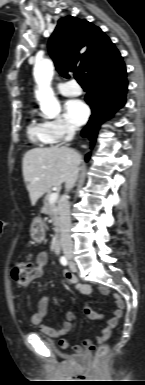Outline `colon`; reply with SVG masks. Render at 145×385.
<instances>
[{
  "mask_svg": "<svg viewBox=\"0 0 145 385\" xmlns=\"http://www.w3.org/2000/svg\"><path fill=\"white\" fill-rule=\"evenodd\" d=\"M34 269V264L31 261H18L13 266L12 277L19 285L27 286L32 280ZM88 349L92 350L93 346H89ZM107 353V345H103L97 349L95 358L96 366L100 365V363L105 359Z\"/></svg>",
  "mask_w": 145,
  "mask_h": 385,
  "instance_id": "1",
  "label": "colon"
}]
</instances>
